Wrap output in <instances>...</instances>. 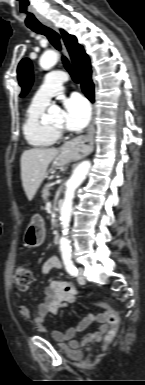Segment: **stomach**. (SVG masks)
I'll use <instances>...</instances> for the list:
<instances>
[{
  "mask_svg": "<svg viewBox=\"0 0 145 385\" xmlns=\"http://www.w3.org/2000/svg\"><path fill=\"white\" fill-rule=\"evenodd\" d=\"M74 159V155L62 148L54 158L51 170L58 169ZM45 239V227L40 217L34 216L24 233L25 245L34 248L40 246Z\"/></svg>",
  "mask_w": 145,
  "mask_h": 385,
  "instance_id": "stomach-1",
  "label": "stomach"
}]
</instances>
